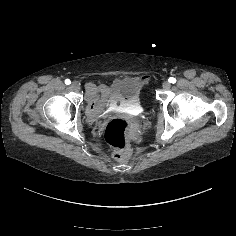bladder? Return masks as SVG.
<instances>
[{
  "instance_id": "bladder-1",
  "label": "bladder",
  "mask_w": 236,
  "mask_h": 236,
  "mask_svg": "<svg viewBox=\"0 0 236 236\" xmlns=\"http://www.w3.org/2000/svg\"><path fill=\"white\" fill-rule=\"evenodd\" d=\"M143 82L138 77L120 76L113 79L106 92L110 101L117 103H137L142 92Z\"/></svg>"
}]
</instances>
